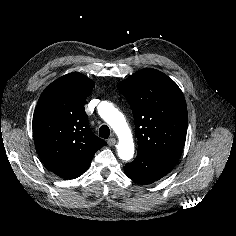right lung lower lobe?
Segmentation results:
<instances>
[{
    "mask_svg": "<svg viewBox=\"0 0 236 236\" xmlns=\"http://www.w3.org/2000/svg\"><path fill=\"white\" fill-rule=\"evenodd\" d=\"M81 174H79V175H76V176H74V177H71V178H69V179H74V178H77V177H79Z\"/></svg>",
    "mask_w": 236,
    "mask_h": 236,
    "instance_id": "right-lung-lower-lobe-1",
    "label": "right lung lower lobe"
}]
</instances>
